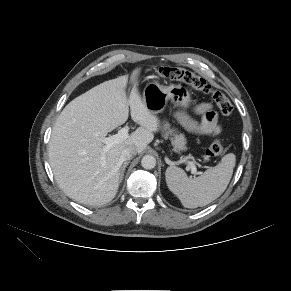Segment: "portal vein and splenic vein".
<instances>
[{"instance_id": "18ae733b", "label": "portal vein and splenic vein", "mask_w": 291, "mask_h": 291, "mask_svg": "<svg viewBox=\"0 0 291 291\" xmlns=\"http://www.w3.org/2000/svg\"><path fill=\"white\" fill-rule=\"evenodd\" d=\"M128 132H129V128L126 126L120 129L117 134L103 138L102 142L105 144L104 151H108L114 145L127 139ZM188 167L191 169L192 174H196L197 170H196L195 162H188Z\"/></svg>"}]
</instances>
